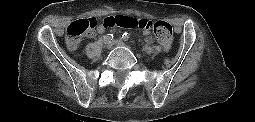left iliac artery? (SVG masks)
Masks as SVG:
<instances>
[{"label":"left iliac artery","mask_w":255,"mask_h":122,"mask_svg":"<svg viewBox=\"0 0 255 122\" xmlns=\"http://www.w3.org/2000/svg\"><path fill=\"white\" fill-rule=\"evenodd\" d=\"M122 38H123L124 41H128L130 39V34L129 33H124L122 35Z\"/></svg>","instance_id":"left-iliac-artery-1"}]
</instances>
